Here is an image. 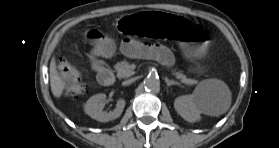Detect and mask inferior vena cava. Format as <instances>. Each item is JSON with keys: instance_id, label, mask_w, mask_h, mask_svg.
<instances>
[{"instance_id": "inferior-vena-cava-1", "label": "inferior vena cava", "mask_w": 279, "mask_h": 148, "mask_svg": "<svg viewBox=\"0 0 279 148\" xmlns=\"http://www.w3.org/2000/svg\"><path fill=\"white\" fill-rule=\"evenodd\" d=\"M133 81H134V79H129V80H126L123 84H124V85H129V84H131Z\"/></svg>"}]
</instances>
